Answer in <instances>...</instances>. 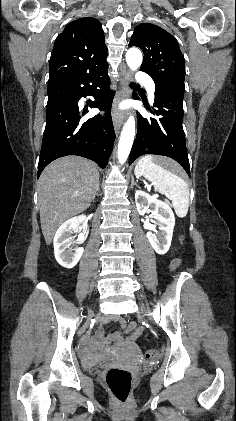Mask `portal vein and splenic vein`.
Instances as JSON below:
<instances>
[{
  "label": "portal vein and splenic vein",
  "mask_w": 236,
  "mask_h": 421,
  "mask_svg": "<svg viewBox=\"0 0 236 421\" xmlns=\"http://www.w3.org/2000/svg\"><path fill=\"white\" fill-rule=\"evenodd\" d=\"M74 196H77V194H73V198H74Z\"/></svg>",
  "instance_id": "1"
}]
</instances>
